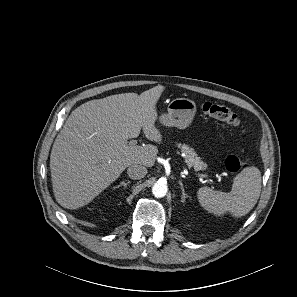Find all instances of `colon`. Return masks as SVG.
Instances as JSON below:
<instances>
[{
    "label": "colon",
    "instance_id": "obj_1",
    "mask_svg": "<svg viewBox=\"0 0 297 297\" xmlns=\"http://www.w3.org/2000/svg\"><path fill=\"white\" fill-rule=\"evenodd\" d=\"M202 111L206 115L224 121L231 126L240 125L239 116L225 105L208 101L202 104ZM225 167L229 172L237 173L244 167V162L239 157L230 155L225 160Z\"/></svg>",
    "mask_w": 297,
    "mask_h": 297
}]
</instances>
